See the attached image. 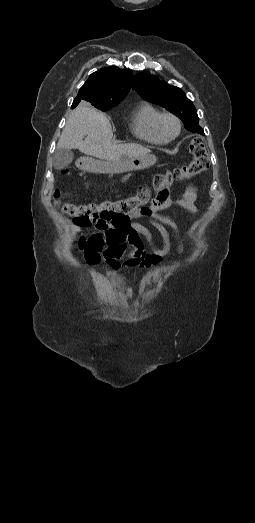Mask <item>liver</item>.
Wrapping results in <instances>:
<instances>
[{
	"instance_id": "liver-1",
	"label": "liver",
	"mask_w": 255,
	"mask_h": 523,
	"mask_svg": "<svg viewBox=\"0 0 255 523\" xmlns=\"http://www.w3.org/2000/svg\"><path fill=\"white\" fill-rule=\"evenodd\" d=\"M87 136V138H85ZM84 138V140H83ZM112 126L101 112L95 108H89L86 104H79L72 110L66 126L61 134L57 148H77L86 156H94L103 162L105 174H113L116 168H120V158H139V156H150L148 148L139 144H112ZM153 164L155 156H151Z\"/></svg>"
}]
</instances>
